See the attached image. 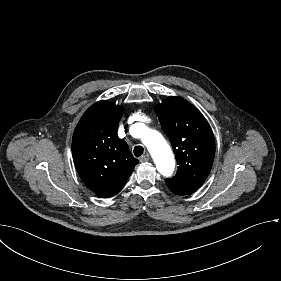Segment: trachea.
<instances>
[{
	"label": "trachea",
	"instance_id": "1",
	"mask_svg": "<svg viewBox=\"0 0 281 281\" xmlns=\"http://www.w3.org/2000/svg\"><path fill=\"white\" fill-rule=\"evenodd\" d=\"M144 152V148L142 146H135L133 153L136 157H140Z\"/></svg>",
	"mask_w": 281,
	"mask_h": 281
}]
</instances>
